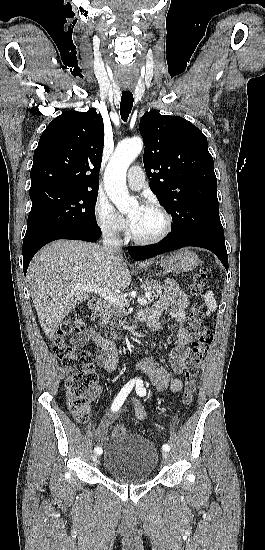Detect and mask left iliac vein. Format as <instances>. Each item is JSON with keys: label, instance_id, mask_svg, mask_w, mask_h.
Masks as SVG:
<instances>
[{"label": "left iliac vein", "instance_id": "obj_1", "mask_svg": "<svg viewBox=\"0 0 265 550\" xmlns=\"http://www.w3.org/2000/svg\"><path fill=\"white\" fill-rule=\"evenodd\" d=\"M162 455H163L164 461L167 462L170 458L169 452L168 451H163Z\"/></svg>", "mask_w": 265, "mask_h": 550}]
</instances>
